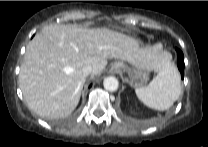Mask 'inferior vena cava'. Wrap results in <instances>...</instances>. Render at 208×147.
Masks as SVG:
<instances>
[{"instance_id": "1", "label": "inferior vena cava", "mask_w": 208, "mask_h": 147, "mask_svg": "<svg viewBox=\"0 0 208 147\" xmlns=\"http://www.w3.org/2000/svg\"><path fill=\"white\" fill-rule=\"evenodd\" d=\"M82 72H83V75H84L85 77H87L88 75H90V74L93 73V68H92V66H90V65L85 66V67L83 68Z\"/></svg>"}]
</instances>
